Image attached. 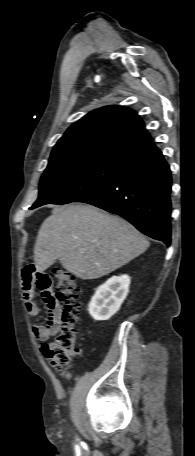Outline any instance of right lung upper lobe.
I'll use <instances>...</instances> for the list:
<instances>
[{"label":"right lung upper lobe","instance_id":"obj_1","mask_svg":"<svg viewBox=\"0 0 195 456\" xmlns=\"http://www.w3.org/2000/svg\"><path fill=\"white\" fill-rule=\"evenodd\" d=\"M157 151L133 110L106 106L74 123L54 146L49 163L94 160L125 167Z\"/></svg>","mask_w":195,"mask_h":456}]
</instances>
